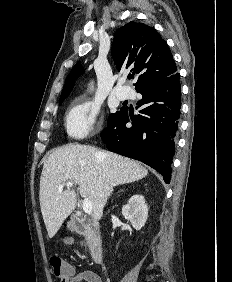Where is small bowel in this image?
Returning a JSON list of instances; mask_svg holds the SVG:
<instances>
[{
    "label": "small bowel",
    "instance_id": "obj_1",
    "mask_svg": "<svg viewBox=\"0 0 232 282\" xmlns=\"http://www.w3.org/2000/svg\"><path fill=\"white\" fill-rule=\"evenodd\" d=\"M69 282H102L101 278L93 271H75L71 268Z\"/></svg>",
    "mask_w": 232,
    "mask_h": 282
}]
</instances>
